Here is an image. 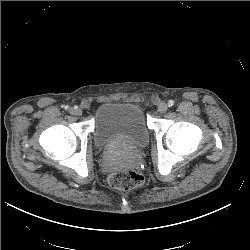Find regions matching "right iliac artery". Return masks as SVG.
I'll list each match as a JSON object with an SVG mask.
<instances>
[{"label":"right iliac artery","instance_id":"1","mask_svg":"<svg viewBox=\"0 0 250 250\" xmlns=\"http://www.w3.org/2000/svg\"><path fill=\"white\" fill-rule=\"evenodd\" d=\"M64 109H65V110L69 109V106H67V105H66V106H64Z\"/></svg>","mask_w":250,"mask_h":250}]
</instances>
